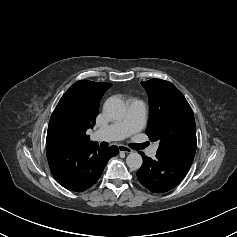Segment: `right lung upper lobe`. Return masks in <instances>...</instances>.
Segmentation results:
<instances>
[{
	"instance_id": "cb5924a9",
	"label": "right lung upper lobe",
	"mask_w": 237,
	"mask_h": 237,
	"mask_svg": "<svg viewBox=\"0 0 237 237\" xmlns=\"http://www.w3.org/2000/svg\"><path fill=\"white\" fill-rule=\"evenodd\" d=\"M111 86L106 82L80 80L64 93L50 120H58L67 127V145L85 147L95 144L89 141L86 130L94 127L100 100Z\"/></svg>"
}]
</instances>
